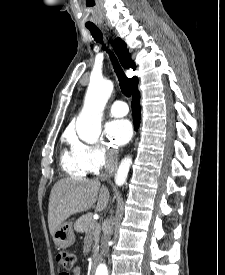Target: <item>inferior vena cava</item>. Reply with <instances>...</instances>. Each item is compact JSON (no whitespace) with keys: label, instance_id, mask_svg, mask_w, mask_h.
<instances>
[{"label":"inferior vena cava","instance_id":"602c4592","mask_svg":"<svg viewBox=\"0 0 225 275\" xmlns=\"http://www.w3.org/2000/svg\"><path fill=\"white\" fill-rule=\"evenodd\" d=\"M106 157H107L106 165H105L106 173L101 175V178L103 180L109 176L111 170H113L114 167L116 166L117 153L115 151H109V152H107ZM106 223L109 225L110 221L106 220ZM109 240H110V231L107 230L104 232L103 237H102V242H101V253L104 256L107 255L108 250H109V246H108Z\"/></svg>","mask_w":225,"mask_h":275}]
</instances>
